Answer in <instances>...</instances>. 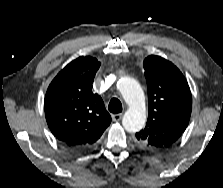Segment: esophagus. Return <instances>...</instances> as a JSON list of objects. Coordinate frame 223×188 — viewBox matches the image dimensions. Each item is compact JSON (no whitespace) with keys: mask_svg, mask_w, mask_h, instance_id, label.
Here are the masks:
<instances>
[{"mask_svg":"<svg viewBox=\"0 0 223 188\" xmlns=\"http://www.w3.org/2000/svg\"><path fill=\"white\" fill-rule=\"evenodd\" d=\"M123 117V114L122 113H118V114H113L112 115V120L115 121V122H118L122 119Z\"/></svg>","mask_w":223,"mask_h":188,"instance_id":"obj_1","label":"esophagus"}]
</instances>
